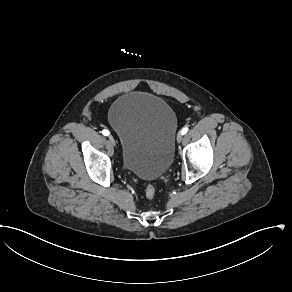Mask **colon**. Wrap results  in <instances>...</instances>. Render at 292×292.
<instances>
[{
  "instance_id": "1",
  "label": "colon",
  "mask_w": 292,
  "mask_h": 292,
  "mask_svg": "<svg viewBox=\"0 0 292 292\" xmlns=\"http://www.w3.org/2000/svg\"><path fill=\"white\" fill-rule=\"evenodd\" d=\"M146 200L153 201L156 197V188L153 184H148L144 190Z\"/></svg>"
}]
</instances>
